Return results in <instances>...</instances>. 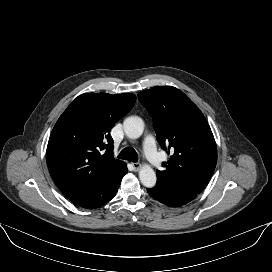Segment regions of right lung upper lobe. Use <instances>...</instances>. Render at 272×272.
<instances>
[{
  "instance_id": "obj_1",
  "label": "right lung upper lobe",
  "mask_w": 272,
  "mask_h": 272,
  "mask_svg": "<svg viewBox=\"0 0 272 272\" xmlns=\"http://www.w3.org/2000/svg\"><path fill=\"white\" fill-rule=\"evenodd\" d=\"M135 101L133 94H82L60 116L46 156L49 172L66 197L91 191L123 163L113 157L110 131Z\"/></svg>"
}]
</instances>
